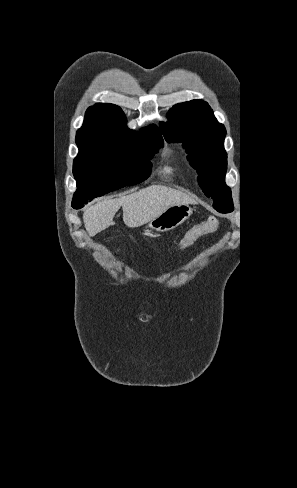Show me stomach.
<instances>
[{
	"instance_id": "stomach-1",
	"label": "stomach",
	"mask_w": 297,
	"mask_h": 488,
	"mask_svg": "<svg viewBox=\"0 0 297 488\" xmlns=\"http://www.w3.org/2000/svg\"><path fill=\"white\" fill-rule=\"evenodd\" d=\"M191 215L192 208L189 204L172 205L152 219L148 224V228L157 232H166L181 225Z\"/></svg>"
}]
</instances>
